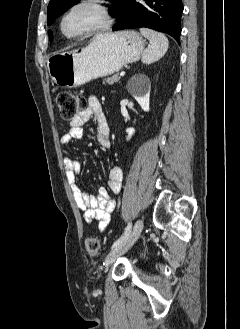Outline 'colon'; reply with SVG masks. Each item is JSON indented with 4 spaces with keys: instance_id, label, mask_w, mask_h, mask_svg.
I'll return each mask as SVG.
<instances>
[{
    "instance_id": "1",
    "label": "colon",
    "mask_w": 240,
    "mask_h": 329,
    "mask_svg": "<svg viewBox=\"0 0 240 329\" xmlns=\"http://www.w3.org/2000/svg\"><path fill=\"white\" fill-rule=\"evenodd\" d=\"M57 103L61 117L64 120H73L86 108V100L83 96L68 91H63L58 94ZM85 247L89 254L93 256L99 255V242L95 237H88L85 240Z\"/></svg>"
}]
</instances>
